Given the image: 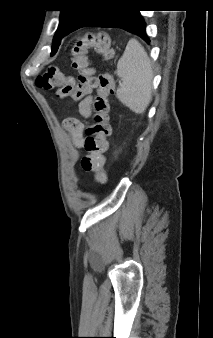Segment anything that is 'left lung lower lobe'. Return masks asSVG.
<instances>
[{"label":"left lung lower lobe","mask_w":213,"mask_h":338,"mask_svg":"<svg viewBox=\"0 0 213 338\" xmlns=\"http://www.w3.org/2000/svg\"><path fill=\"white\" fill-rule=\"evenodd\" d=\"M115 8H90L70 28V32L87 26L117 27L150 42L146 34V24L138 10L125 7V1H113ZM69 32V33H70ZM68 33V34H69Z\"/></svg>","instance_id":"left-lung-lower-lobe-1"}]
</instances>
